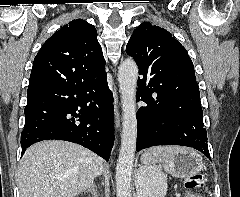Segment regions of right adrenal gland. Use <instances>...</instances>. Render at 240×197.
Returning <instances> with one entry per match:
<instances>
[{"mask_svg": "<svg viewBox=\"0 0 240 197\" xmlns=\"http://www.w3.org/2000/svg\"><path fill=\"white\" fill-rule=\"evenodd\" d=\"M89 192L92 194L93 197H98L96 184H92L91 188L85 191V193Z\"/></svg>", "mask_w": 240, "mask_h": 197, "instance_id": "2a0ac1e0", "label": "right adrenal gland"}]
</instances>
